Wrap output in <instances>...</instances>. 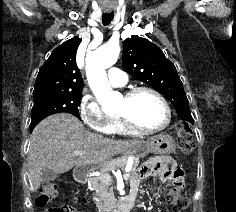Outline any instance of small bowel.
<instances>
[{
  "label": "small bowel",
  "mask_w": 236,
  "mask_h": 212,
  "mask_svg": "<svg viewBox=\"0 0 236 212\" xmlns=\"http://www.w3.org/2000/svg\"><path fill=\"white\" fill-rule=\"evenodd\" d=\"M154 168L155 173L159 174L163 178L175 176L182 182V177L178 171L174 168L173 161L170 157H153L145 163V170L141 171L139 178L146 175L147 169ZM139 182H133L131 189H138Z\"/></svg>",
  "instance_id": "small-bowel-1"
}]
</instances>
